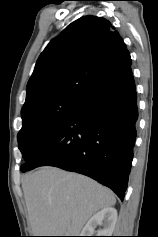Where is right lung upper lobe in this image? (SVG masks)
<instances>
[{"instance_id":"obj_1","label":"right lung upper lobe","mask_w":158,"mask_h":237,"mask_svg":"<svg viewBox=\"0 0 158 237\" xmlns=\"http://www.w3.org/2000/svg\"><path fill=\"white\" fill-rule=\"evenodd\" d=\"M131 64L123 39L108 20L81 17L51 40L39 56L22 112L54 98L85 101Z\"/></svg>"}]
</instances>
